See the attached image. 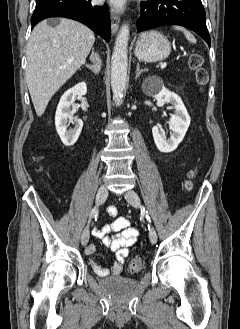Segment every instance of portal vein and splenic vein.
Listing matches in <instances>:
<instances>
[{
    "label": "portal vein and splenic vein",
    "instance_id": "18ae733b",
    "mask_svg": "<svg viewBox=\"0 0 240 329\" xmlns=\"http://www.w3.org/2000/svg\"><path fill=\"white\" fill-rule=\"evenodd\" d=\"M166 66H167V63H166V62H163V63L161 64V69H164Z\"/></svg>",
    "mask_w": 240,
    "mask_h": 329
}]
</instances>
